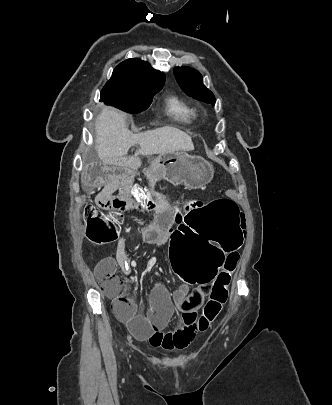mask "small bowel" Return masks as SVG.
<instances>
[{
    "label": "small bowel",
    "mask_w": 332,
    "mask_h": 405,
    "mask_svg": "<svg viewBox=\"0 0 332 405\" xmlns=\"http://www.w3.org/2000/svg\"><path fill=\"white\" fill-rule=\"evenodd\" d=\"M158 166L157 159H152L150 164L146 165L150 183L161 181V171ZM111 177L116 179L112 180ZM135 178L134 171H130L129 168H114L113 162H89L86 172H80L78 182L80 186H105L95 198V205L107 215H112L114 211L126 215L128 211L140 212L141 209L137 199L129 197L128 186ZM169 200L168 195H162L160 190H155L153 202L159 204L160 213L156 208L154 212H141L148 215V222L143 229V239L146 243L164 244L170 240L176 210L168 208ZM125 249L126 239L121 238L117 245V257H106L96 264L94 273L102 286L103 278L107 273L114 272L118 266L123 270L126 269ZM210 291V285L190 291V287L183 283L177 291L170 294L162 283H157L150 294V308L144 315L129 318L118 315V317L126 322L131 334L139 341L167 350L183 349L201 332L198 327L199 311ZM174 308L183 312L182 323L171 331H165Z\"/></svg>",
    "instance_id": "obj_1"
}]
</instances>
